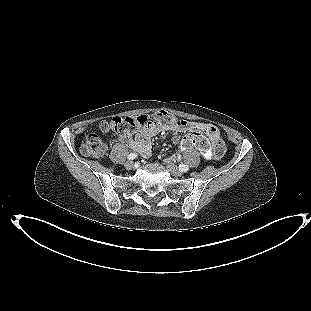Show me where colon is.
I'll list each match as a JSON object with an SVG mask.
<instances>
[{
  "mask_svg": "<svg viewBox=\"0 0 311 311\" xmlns=\"http://www.w3.org/2000/svg\"><path fill=\"white\" fill-rule=\"evenodd\" d=\"M153 125H175L186 127L188 121L176 118L167 112L159 111L150 119L145 115L137 117H115L110 121H104L100 124V129L104 133L117 135H128L136 129L148 128ZM184 145L197 147L205 157H210V146L207 139L197 132H191L185 139ZM80 151L88 157H102L107 151V147L100 136L95 132H89L81 144Z\"/></svg>",
  "mask_w": 311,
  "mask_h": 311,
  "instance_id": "1",
  "label": "colon"
}]
</instances>
